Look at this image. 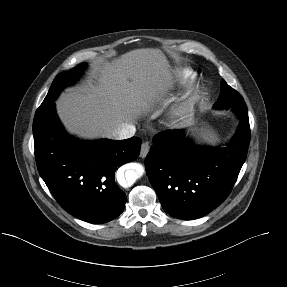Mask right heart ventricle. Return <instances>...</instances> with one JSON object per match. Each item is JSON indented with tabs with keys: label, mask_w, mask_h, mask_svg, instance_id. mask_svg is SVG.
I'll list each match as a JSON object with an SVG mask.
<instances>
[{
	"label": "right heart ventricle",
	"mask_w": 287,
	"mask_h": 287,
	"mask_svg": "<svg viewBox=\"0 0 287 287\" xmlns=\"http://www.w3.org/2000/svg\"><path fill=\"white\" fill-rule=\"evenodd\" d=\"M181 80H184L185 82H188L192 77L190 76V74L183 72L181 75Z\"/></svg>",
	"instance_id": "obj_1"
}]
</instances>
